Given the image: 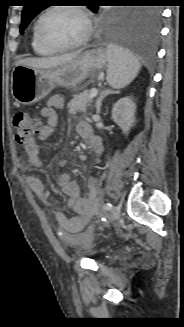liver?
Wrapping results in <instances>:
<instances>
[{
	"instance_id": "1",
	"label": "liver",
	"mask_w": 184,
	"mask_h": 327,
	"mask_svg": "<svg viewBox=\"0 0 184 327\" xmlns=\"http://www.w3.org/2000/svg\"><path fill=\"white\" fill-rule=\"evenodd\" d=\"M81 51L74 53L59 55L55 57H42V58H25L16 63L17 65H24L34 69H51L64 65L65 63L75 59Z\"/></svg>"
}]
</instances>
